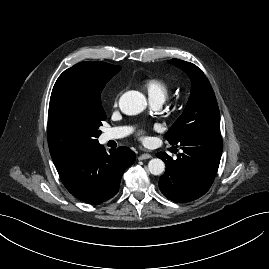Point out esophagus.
<instances>
[{
  "label": "esophagus",
  "instance_id": "1",
  "mask_svg": "<svg viewBox=\"0 0 269 269\" xmlns=\"http://www.w3.org/2000/svg\"><path fill=\"white\" fill-rule=\"evenodd\" d=\"M152 158L151 154L149 153H143L138 156V160H146Z\"/></svg>",
  "mask_w": 269,
  "mask_h": 269
}]
</instances>
